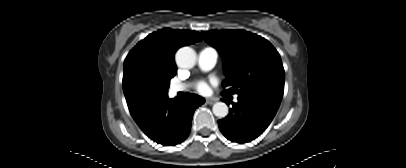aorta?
<instances>
[{"label":"aorta","mask_w":406,"mask_h":168,"mask_svg":"<svg viewBox=\"0 0 406 168\" xmlns=\"http://www.w3.org/2000/svg\"><path fill=\"white\" fill-rule=\"evenodd\" d=\"M175 60L180 68L190 69L196 64V53L190 47H182L176 52ZM212 110L214 115L219 118H224L228 115V106L223 102H216Z\"/></svg>","instance_id":"762f6f07"}]
</instances>
